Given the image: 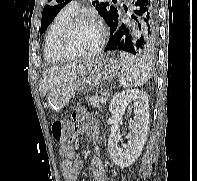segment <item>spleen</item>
Returning a JSON list of instances; mask_svg holds the SVG:
<instances>
[{
    "mask_svg": "<svg viewBox=\"0 0 197 181\" xmlns=\"http://www.w3.org/2000/svg\"><path fill=\"white\" fill-rule=\"evenodd\" d=\"M120 85L124 88L139 87L149 79V68L140 59L126 53H120Z\"/></svg>",
    "mask_w": 197,
    "mask_h": 181,
    "instance_id": "3e777b00",
    "label": "spleen"
}]
</instances>
